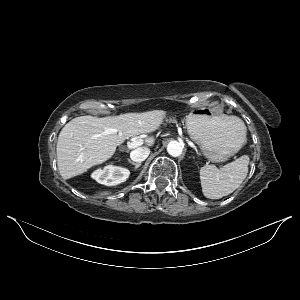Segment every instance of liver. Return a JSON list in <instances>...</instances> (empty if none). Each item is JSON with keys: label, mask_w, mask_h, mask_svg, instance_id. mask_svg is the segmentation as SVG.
<instances>
[{"label": "liver", "mask_w": 300, "mask_h": 300, "mask_svg": "<svg viewBox=\"0 0 300 300\" xmlns=\"http://www.w3.org/2000/svg\"><path fill=\"white\" fill-rule=\"evenodd\" d=\"M226 117L231 119L232 116ZM163 118L161 111H149L103 118L86 115L72 119L63 127L57 141L60 175L69 179L105 162L127 138L156 131ZM144 142V147L153 146L155 138L148 137Z\"/></svg>", "instance_id": "6515ba94"}]
</instances>
